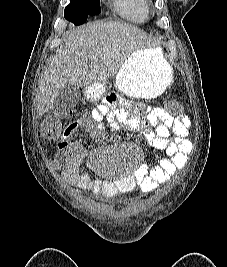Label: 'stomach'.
<instances>
[{
  "label": "stomach",
  "instance_id": "0dacf381",
  "mask_svg": "<svg viewBox=\"0 0 227 267\" xmlns=\"http://www.w3.org/2000/svg\"><path fill=\"white\" fill-rule=\"evenodd\" d=\"M172 80V67L160 48H142L125 61L115 78L116 88L136 99L160 95ZM104 91L103 85H88L86 96L96 100Z\"/></svg>",
  "mask_w": 227,
  "mask_h": 267
}]
</instances>
